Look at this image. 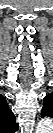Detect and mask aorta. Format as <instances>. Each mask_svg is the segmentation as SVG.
<instances>
[{"label": "aorta", "instance_id": "762f6f07", "mask_svg": "<svg viewBox=\"0 0 53 133\" xmlns=\"http://www.w3.org/2000/svg\"><path fill=\"white\" fill-rule=\"evenodd\" d=\"M47 121H41L37 126V132H41L44 129V126L47 124Z\"/></svg>", "mask_w": 53, "mask_h": 133}]
</instances>
